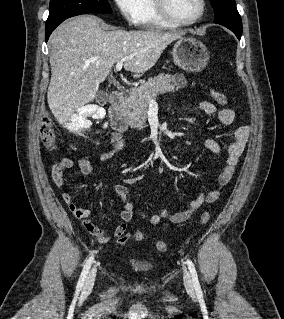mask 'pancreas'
<instances>
[{
	"mask_svg": "<svg viewBox=\"0 0 284 319\" xmlns=\"http://www.w3.org/2000/svg\"><path fill=\"white\" fill-rule=\"evenodd\" d=\"M183 75L159 74L148 79L140 87L132 89L129 97L122 107V113L132 128L143 129L146 127L148 107L151 100L157 95L172 92L185 85Z\"/></svg>",
	"mask_w": 284,
	"mask_h": 319,
	"instance_id": "pancreas-1",
	"label": "pancreas"
}]
</instances>
